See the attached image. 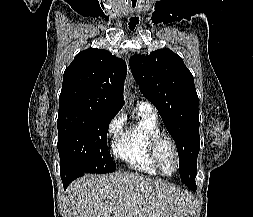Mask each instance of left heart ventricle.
<instances>
[{
    "instance_id": "1",
    "label": "left heart ventricle",
    "mask_w": 253,
    "mask_h": 217,
    "mask_svg": "<svg viewBox=\"0 0 253 217\" xmlns=\"http://www.w3.org/2000/svg\"><path fill=\"white\" fill-rule=\"evenodd\" d=\"M159 160L166 173H172L175 169V157L168 143H163L159 148Z\"/></svg>"
}]
</instances>
